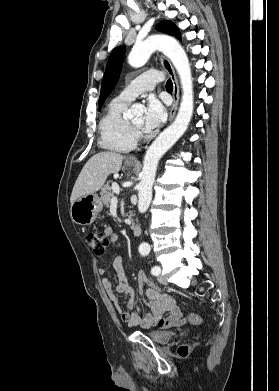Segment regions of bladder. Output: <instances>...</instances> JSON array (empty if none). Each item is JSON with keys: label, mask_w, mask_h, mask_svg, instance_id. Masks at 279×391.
Instances as JSON below:
<instances>
[{"label": "bladder", "mask_w": 279, "mask_h": 391, "mask_svg": "<svg viewBox=\"0 0 279 391\" xmlns=\"http://www.w3.org/2000/svg\"><path fill=\"white\" fill-rule=\"evenodd\" d=\"M174 334L173 331H152L148 333V337L155 343L165 344L173 338Z\"/></svg>", "instance_id": "obj_1"}]
</instances>
